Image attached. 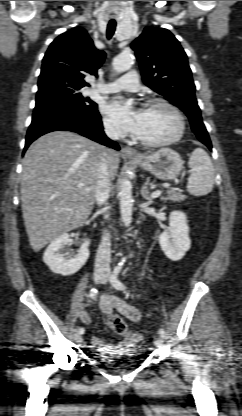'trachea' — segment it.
I'll list each match as a JSON object with an SVG mask.
<instances>
[{"mask_svg":"<svg viewBox=\"0 0 242 416\" xmlns=\"http://www.w3.org/2000/svg\"><path fill=\"white\" fill-rule=\"evenodd\" d=\"M115 29H116V23L115 22H109L108 25H107V31H106L107 39L110 40L112 38V36L115 33Z\"/></svg>","mask_w":242,"mask_h":416,"instance_id":"3493384b","label":"trachea"}]
</instances>
